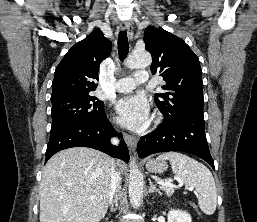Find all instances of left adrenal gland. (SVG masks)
Returning a JSON list of instances; mask_svg holds the SVG:
<instances>
[{
	"mask_svg": "<svg viewBox=\"0 0 257 222\" xmlns=\"http://www.w3.org/2000/svg\"><path fill=\"white\" fill-rule=\"evenodd\" d=\"M159 193L161 195L160 190L152 183L151 179L149 178V193Z\"/></svg>",
	"mask_w": 257,
	"mask_h": 222,
	"instance_id": "a2214340",
	"label": "left adrenal gland"
}]
</instances>
